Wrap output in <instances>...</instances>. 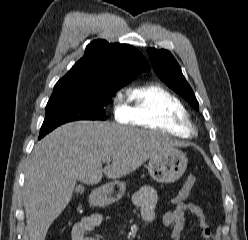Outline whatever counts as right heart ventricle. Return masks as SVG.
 Here are the masks:
<instances>
[{"instance_id": "right-heart-ventricle-1", "label": "right heart ventricle", "mask_w": 248, "mask_h": 240, "mask_svg": "<svg viewBox=\"0 0 248 240\" xmlns=\"http://www.w3.org/2000/svg\"><path fill=\"white\" fill-rule=\"evenodd\" d=\"M128 123L187 139L194 127L181 99L159 84H143L128 94Z\"/></svg>"}]
</instances>
